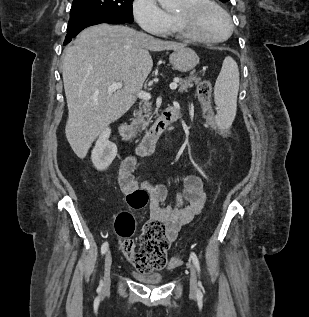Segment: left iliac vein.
Listing matches in <instances>:
<instances>
[{
    "label": "left iliac vein",
    "mask_w": 309,
    "mask_h": 317,
    "mask_svg": "<svg viewBox=\"0 0 309 317\" xmlns=\"http://www.w3.org/2000/svg\"><path fill=\"white\" fill-rule=\"evenodd\" d=\"M190 268V291L196 293L197 291V274L193 264L189 263Z\"/></svg>",
    "instance_id": "4c4485c4"
}]
</instances>
